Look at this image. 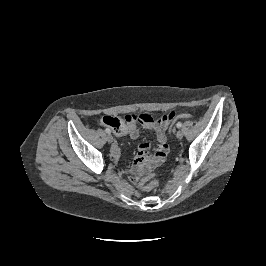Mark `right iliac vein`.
Here are the masks:
<instances>
[{"label":"right iliac vein","mask_w":266,"mask_h":266,"mask_svg":"<svg viewBox=\"0 0 266 266\" xmlns=\"http://www.w3.org/2000/svg\"><path fill=\"white\" fill-rule=\"evenodd\" d=\"M106 140H107V142L112 143L113 142V136L111 134H108L106 136Z\"/></svg>","instance_id":"right-iliac-vein-1"}]
</instances>
